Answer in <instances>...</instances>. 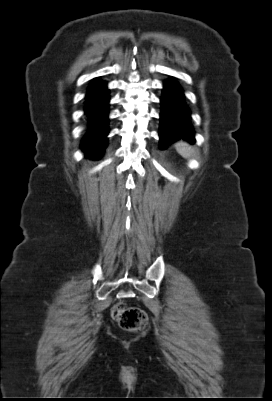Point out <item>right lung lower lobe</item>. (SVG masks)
I'll return each instance as SVG.
<instances>
[{"label": "right lung lower lobe", "instance_id": "98d812e1", "mask_svg": "<svg viewBox=\"0 0 272 401\" xmlns=\"http://www.w3.org/2000/svg\"><path fill=\"white\" fill-rule=\"evenodd\" d=\"M106 84L95 80L88 88L85 112L89 117V131L82 141L86 156L98 158L106 147L108 134V96Z\"/></svg>", "mask_w": 272, "mask_h": 401}]
</instances>
